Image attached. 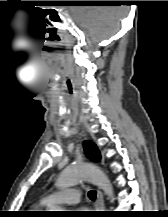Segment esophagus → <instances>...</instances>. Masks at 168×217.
Returning <instances> with one entry per match:
<instances>
[{
  "instance_id": "esophagus-1",
  "label": "esophagus",
  "mask_w": 168,
  "mask_h": 217,
  "mask_svg": "<svg viewBox=\"0 0 168 217\" xmlns=\"http://www.w3.org/2000/svg\"><path fill=\"white\" fill-rule=\"evenodd\" d=\"M96 207L98 210H102L104 208L103 195H102V192L100 190H98V192H97Z\"/></svg>"
}]
</instances>
